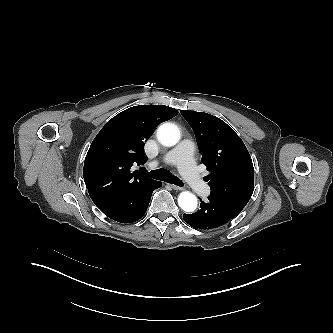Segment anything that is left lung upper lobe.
Returning <instances> with one entry per match:
<instances>
[{
	"label": "left lung upper lobe",
	"mask_w": 333,
	"mask_h": 333,
	"mask_svg": "<svg viewBox=\"0 0 333 333\" xmlns=\"http://www.w3.org/2000/svg\"><path fill=\"white\" fill-rule=\"evenodd\" d=\"M191 125L202 163L210 174L206 177L210 195L237 212H241L254 190V168L241 138L221 119L203 112L181 110Z\"/></svg>",
	"instance_id": "5c2ea615"
}]
</instances>
